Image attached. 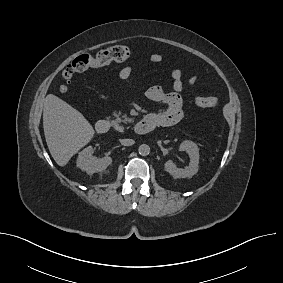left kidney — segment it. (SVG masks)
Returning <instances> with one entry per match:
<instances>
[{
  "instance_id": "left-kidney-1",
  "label": "left kidney",
  "mask_w": 283,
  "mask_h": 283,
  "mask_svg": "<svg viewBox=\"0 0 283 283\" xmlns=\"http://www.w3.org/2000/svg\"><path fill=\"white\" fill-rule=\"evenodd\" d=\"M180 151H186L190 156L189 166L185 169L177 168L172 161L165 163V171L172 175L174 178L192 177L198 172L199 164V149L197 145L189 140H185L180 144Z\"/></svg>"
}]
</instances>
